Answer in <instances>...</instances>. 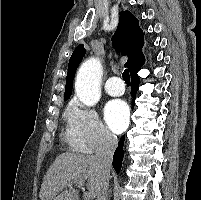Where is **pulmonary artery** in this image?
Here are the masks:
<instances>
[{
	"instance_id": "pulmonary-artery-1",
	"label": "pulmonary artery",
	"mask_w": 201,
	"mask_h": 200,
	"mask_svg": "<svg viewBox=\"0 0 201 200\" xmlns=\"http://www.w3.org/2000/svg\"><path fill=\"white\" fill-rule=\"evenodd\" d=\"M105 90L111 96H120L125 91L124 82L120 77L112 76L108 79Z\"/></svg>"
}]
</instances>
